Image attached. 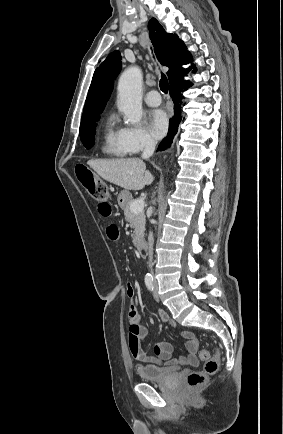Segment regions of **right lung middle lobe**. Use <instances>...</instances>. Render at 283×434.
<instances>
[{"instance_id": "obj_1", "label": "right lung middle lobe", "mask_w": 283, "mask_h": 434, "mask_svg": "<svg viewBox=\"0 0 283 434\" xmlns=\"http://www.w3.org/2000/svg\"><path fill=\"white\" fill-rule=\"evenodd\" d=\"M99 119L90 122V123H86L80 126V130H79V135L81 137V141L83 143V145L89 149L90 147L93 146L94 144V140H95V132H96V121H98Z\"/></svg>"}]
</instances>
